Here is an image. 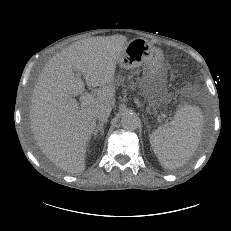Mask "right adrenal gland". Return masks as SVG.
I'll return each instance as SVG.
<instances>
[{"label": "right adrenal gland", "instance_id": "2a0ac1e0", "mask_svg": "<svg viewBox=\"0 0 231 231\" xmlns=\"http://www.w3.org/2000/svg\"><path fill=\"white\" fill-rule=\"evenodd\" d=\"M107 121L100 122L95 131H94V138L98 137V133L100 132V136L104 135V124H106Z\"/></svg>", "mask_w": 231, "mask_h": 231}]
</instances>
